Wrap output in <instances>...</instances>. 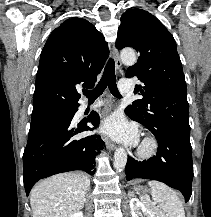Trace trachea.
Returning a JSON list of instances; mask_svg holds the SVG:
<instances>
[{
    "mask_svg": "<svg viewBox=\"0 0 211 217\" xmlns=\"http://www.w3.org/2000/svg\"><path fill=\"white\" fill-rule=\"evenodd\" d=\"M107 86L114 96H121L116 85L115 65L112 58L108 60L104 69L103 76L97 86L93 90L83 91V94L88 98L90 102H93L104 92Z\"/></svg>",
    "mask_w": 211,
    "mask_h": 217,
    "instance_id": "obj_1",
    "label": "trachea"
}]
</instances>
